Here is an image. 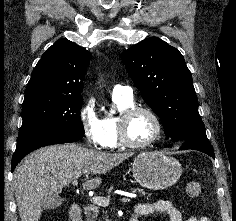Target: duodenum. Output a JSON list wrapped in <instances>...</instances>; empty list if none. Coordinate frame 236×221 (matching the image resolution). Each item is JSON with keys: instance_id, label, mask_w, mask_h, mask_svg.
<instances>
[{"instance_id": "410a0bca", "label": "duodenum", "mask_w": 236, "mask_h": 221, "mask_svg": "<svg viewBox=\"0 0 236 221\" xmlns=\"http://www.w3.org/2000/svg\"><path fill=\"white\" fill-rule=\"evenodd\" d=\"M69 221H82V207L77 202H74L70 207ZM129 221H139V219L134 215Z\"/></svg>"}]
</instances>
